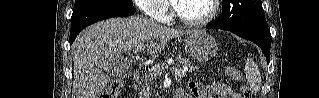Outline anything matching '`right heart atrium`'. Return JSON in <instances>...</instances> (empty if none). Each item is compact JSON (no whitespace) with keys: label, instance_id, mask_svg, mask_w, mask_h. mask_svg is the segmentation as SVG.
I'll list each match as a JSON object with an SVG mask.
<instances>
[{"label":"right heart atrium","instance_id":"1","mask_svg":"<svg viewBox=\"0 0 319 98\" xmlns=\"http://www.w3.org/2000/svg\"><path fill=\"white\" fill-rule=\"evenodd\" d=\"M136 5L152 19H162L168 14V5L164 0H138Z\"/></svg>","mask_w":319,"mask_h":98}]
</instances>
